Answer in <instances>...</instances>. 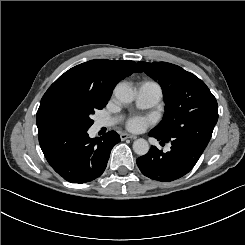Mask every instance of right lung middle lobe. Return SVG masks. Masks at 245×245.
I'll use <instances>...</instances> for the list:
<instances>
[{"instance_id":"right-lung-middle-lobe-1","label":"right lung middle lobe","mask_w":245,"mask_h":245,"mask_svg":"<svg viewBox=\"0 0 245 245\" xmlns=\"http://www.w3.org/2000/svg\"><path fill=\"white\" fill-rule=\"evenodd\" d=\"M106 103L90 97L64 96L59 98L50 109L52 129H88L93 120L90 118L96 109H102Z\"/></svg>"}]
</instances>
